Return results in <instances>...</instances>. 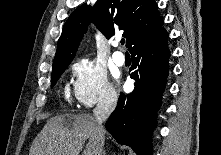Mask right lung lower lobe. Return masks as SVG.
Returning <instances> with one entry per match:
<instances>
[{
  "mask_svg": "<svg viewBox=\"0 0 221 155\" xmlns=\"http://www.w3.org/2000/svg\"><path fill=\"white\" fill-rule=\"evenodd\" d=\"M163 23L139 37L130 48L133 65L130 77L135 80L132 93L120 94L117 106L106 122L115 140L130 146L137 155H151L155 113L168 75V33Z\"/></svg>",
  "mask_w": 221,
  "mask_h": 155,
  "instance_id": "1",
  "label": "right lung lower lobe"
}]
</instances>
